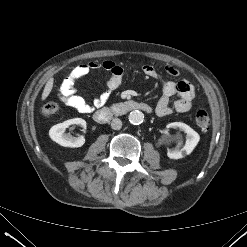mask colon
I'll return each mask as SVG.
<instances>
[{
    "mask_svg": "<svg viewBox=\"0 0 247 247\" xmlns=\"http://www.w3.org/2000/svg\"><path fill=\"white\" fill-rule=\"evenodd\" d=\"M58 111H59V105L53 101H49L45 103L42 108V114L46 118L53 117L54 115L58 113ZM194 119H195L196 126L200 130L205 131L209 128L211 119H210L209 114L205 110L203 109L198 110L195 113Z\"/></svg>",
    "mask_w": 247,
    "mask_h": 247,
    "instance_id": "colon-1",
    "label": "colon"
}]
</instances>
